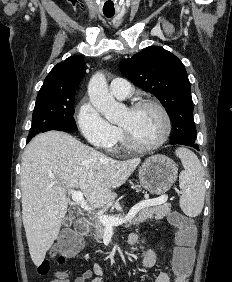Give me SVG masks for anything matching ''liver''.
Returning <instances> with one entry per match:
<instances>
[{
  "label": "liver",
  "mask_w": 232,
  "mask_h": 282,
  "mask_svg": "<svg viewBox=\"0 0 232 282\" xmlns=\"http://www.w3.org/2000/svg\"><path fill=\"white\" fill-rule=\"evenodd\" d=\"M140 159L115 160L61 131L39 134L21 164L22 220L31 259L39 266L57 239L68 209L67 189H80L94 208L115 199Z\"/></svg>",
  "instance_id": "1"
}]
</instances>
